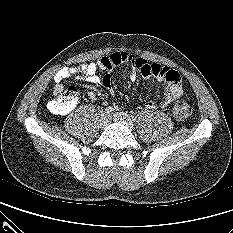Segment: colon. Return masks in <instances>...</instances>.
Segmentation results:
<instances>
[{
    "label": "colon",
    "mask_w": 233,
    "mask_h": 233,
    "mask_svg": "<svg viewBox=\"0 0 233 233\" xmlns=\"http://www.w3.org/2000/svg\"><path fill=\"white\" fill-rule=\"evenodd\" d=\"M57 97L48 103L51 112L59 115L69 113L77 102V89L70 86L66 89H58ZM191 106L185 101H177L173 106V115L177 120H185L191 115Z\"/></svg>",
    "instance_id": "1"
}]
</instances>
